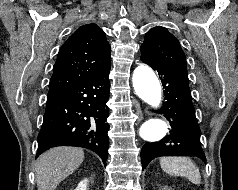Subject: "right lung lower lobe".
I'll use <instances>...</instances> for the list:
<instances>
[{"mask_svg":"<svg viewBox=\"0 0 238 190\" xmlns=\"http://www.w3.org/2000/svg\"><path fill=\"white\" fill-rule=\"evenodd\" d=\"M109 71L110 66L47 98L36 158L51 147L77 146L96 152L106 165Z\"/></svg>","mask_w":238,"mask_h":190,"instance_id":"98d812e1","label":"right lung lower lobe"}]
</instances>
